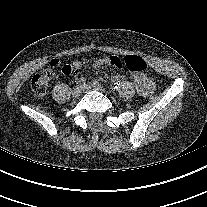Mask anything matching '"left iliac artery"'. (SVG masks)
<instances>
[{
	"mask_svg": "<svg viewBox=\"0 0 207 207\" xmlns=\"http://www.w3.org/2000/svg\"><path fill=\"white\" fill-rule=\"evenodd\" d=\"M93 85H94V86H98V87H102L101 84H100L98 81H94V82H93ZM102 88H103V87H102Z\"/></svg>",
	"mask_w": 207,
	"mask_h": 207,
	"instance_id": "obj_1",
	"label": "left iliac artery"
}]
</instances>
